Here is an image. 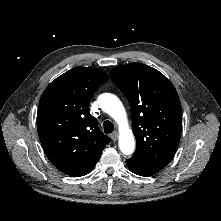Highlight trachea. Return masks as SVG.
Listing matches in <instances>:
<instances>
[{"label":"trachea","mask_w":221,"mask_h":221,"mask_svg":"<svg viewBox=\"0 0 221 221\" xmlns=\"http://www.w3.org/2000/svg\"><path fill=\"white\" fill-rule=\"evenodd\" d=\"M103 129H104V133L105 134L112 133L113 130H114L113 123L111 121H109V120L105 121L103 123Z\"/></svg>","instance_id":"obj_1"}]
</instances>
